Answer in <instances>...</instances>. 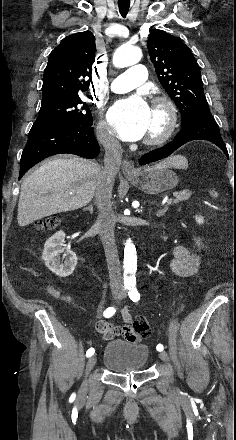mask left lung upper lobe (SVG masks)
Segmentation results:
<instances>
[{
    "mask_svg": "<svg viewBox=\"0 0 236 440\" xmlns=\"http://www.w3.org/2000/svg\"><path fill=\"white\" fill-rule=\"evenodd\" d=\"M147 45L159 82L180 109L182 126L198 113L209 110L200 68L182 40L165 31L153 30Z\"/></svg>",
    "mask_w": 236,
    "mask_h": 440,
    "instance_id": "1",
    "label": "left lung upper lobe"
}]
</instances>
